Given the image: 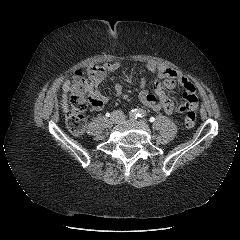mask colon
<instances>
[{"label":"colon","mask_w":240,"mask_h":240,"mask_svg":"<svg viewBox=\"0 0 240 240\" xmlns=\"http://www.w3.org/2000/svg\"><path fill=\"white\" fill-rule=\"evenodd\" d=\"M94 77L91 70L88 73L76 72L69 94V108L66 114V126L68 130L75 136L84 133L86 126L85 112L88 108V100L86 98L87 87ZM196 123V114L194 110H188L185 114L184 124L191 128Z\"/></svg>","instance_id":"5ec220e1"}]
</instances>
